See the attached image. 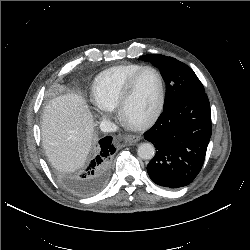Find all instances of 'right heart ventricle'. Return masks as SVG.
<instances>
[{"label": "right heart ventricle", "instance_id": "1", "mask_svg": "<svg viewBox=\"0 0 250 250\" xmlns=\"http://www.w3.org/2000/svg\"><path fill=\"white\" fill-rule=\"evenodd\" d=\"M142 67L138 64H125L98 74L91 88L93 101L106 110L114 109L125 84Z\"/></svg>", "mask_w": 250, "mask_h": 250}]
</instances>
